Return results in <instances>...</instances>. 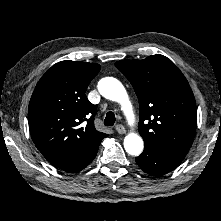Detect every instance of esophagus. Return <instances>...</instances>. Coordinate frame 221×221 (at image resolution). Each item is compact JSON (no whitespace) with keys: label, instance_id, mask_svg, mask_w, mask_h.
<instances>
[{"label":"esophagus","instance_id":"obj_1","mask_svg":"<svg viewBox=\"0 0 221 221\" xmlns=\"http://www.w3.org/2000/svg\"><path fill=\"white\" fill-rule=\"evenodd\" d=\"M115 129L119 134H125L126 133L125 127L122 124H117Z\"/></svg>","mask_w":221,"mask_h":221}]
</instances>
